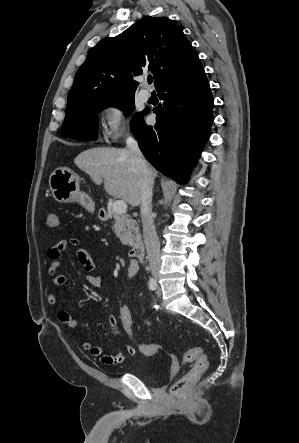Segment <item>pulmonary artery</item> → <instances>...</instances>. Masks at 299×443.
<instances>
[{"mask_svg":"<svg viewBox=\"0 0 299 443\" xmlns=\"http://www.w3.org/2000/svg\"><path fill=\"white\" fill-rule=\"evenodd\" d=\"M139 98H140L141 101L146 102L150 98V94H149V92L147 90H142L139 93Z\"/></svg>","mask_w":299,"mask_h":443,"instance_id":"obj_1","label":"pulmonary artery"}]
</instances>
